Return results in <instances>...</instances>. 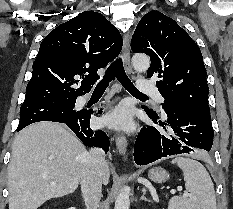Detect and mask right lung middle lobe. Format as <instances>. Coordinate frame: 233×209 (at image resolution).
Here are the masks:
<instances>
[{
	"mask_svg": "<svg viewBox=\"0 0 233 209\" xmlns=\"http://www.w3.org/2000/svg\"><path fill=\"white\" fill-rule=\"evenodd\" d=\"M76 99H50L23 103L20 108L19 126H27L39 121L62 122L75 117Z\"/></svg>",
	"mask_w": 233,
	"mask_h": 209,
	"instance_id": "dd1d6c3e",
	"label": "right lung middle lobe"
}]
</instances>
